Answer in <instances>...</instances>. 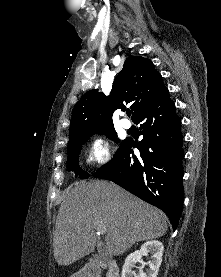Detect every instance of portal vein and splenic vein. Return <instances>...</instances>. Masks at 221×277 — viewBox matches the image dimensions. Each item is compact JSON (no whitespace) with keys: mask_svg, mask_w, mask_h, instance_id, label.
<instances>
[{"mask_svg":"<svg viewBox=\"0 0 221 277\" xmlns=\"http://www.w3.org/2000/svg\"><path fill=\"white\" fill-rule=\"evenodd\" d=\"M104 232H105V227H103L101 225L97 226V233L98 234H104Z\"/></svg>","mask_w":221,"mask_h":277,"instance_id":"1","label":"portal vein and splenic vein"}]
</instances>
